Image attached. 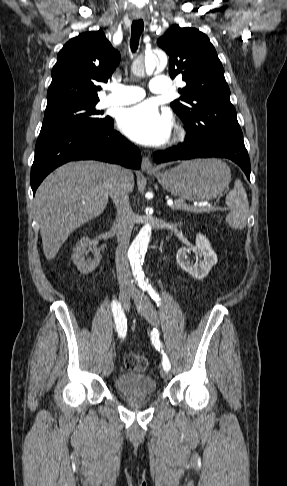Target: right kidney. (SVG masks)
Returning <instances> with one entry per match:
<instances>
[{"instance_id":"right-kidney-1","label":"right kidney","mask_w":287,"mask_h":486,"mask_svg":"<svg viewBox=\"0 0 287 486\" xmlns=\"http://www.w3.org/2000/svg\"><path fill=\"white\" fill-rule=\"evenodd\" d=\"M87 250L93 253V259H85ZM72 259L80 273L87 275L93 272L99 265L101 261V254L95 247H92L91 241L88 237H83L80 241H78L76 247L74 248Z\"/></svg>"}]
</instances>
